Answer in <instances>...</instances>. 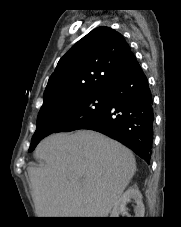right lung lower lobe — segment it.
Returning a JSON list of instances; mask_svg holds the SVG:
<instances>
[{"instance_id":"obj_1","label":"right lung lower lobe","mask_w":181,"mask_h":227,"mask_svg":"<svg viewBox=\"0 0 181 227\" xmlns=\"http://www.w3.org/2000/svg\"><path fill=\"white\" fill-rule=\"evenodd\" d=\"M105 109L82 129L101 132L130 148L147 163L153 141V99L136 58L108 88Z\"/></svg>"}]
</instances>
